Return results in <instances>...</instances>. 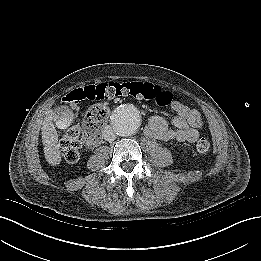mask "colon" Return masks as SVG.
Wrapping results in <instances>:
<instances>
[{
	"instance_id": "colon-1",
	"label": "colon",
	"mask_w": 261,
	"mask_h": 261,
	"mask_svg": "<svg viewBox=\"0 0 261 261\" xmlns=\"http://www.w3.org/2000/svg\"><path fill=\"white\" fill-rule=\"evenodd\" d=\"M130 96L136 99L154 100L159 105H168L172 95L164 91L158 85L142 81L104 82L77 89L65 98L64 105L74 108L80 101L88 99L98 101L87 111L85 116V134L83 142L87 146H94L100 138V129L107 121L108 107L102 101L112 100L118 97ZM81 128L75 124L70 126L61 140V154L68 163H76L80 158L82 147ZM199 152H207L210 143L205 137H201L196 144Z\"/></svg>"
}]
</instances>
